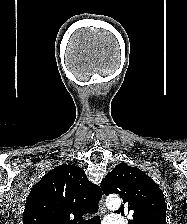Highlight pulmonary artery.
Returning <instances> with one entry per match:
<instances>
[{"instance_id":"pulmonary-artery-1","label":"pulmonary artery","mask_w":187,"mask_h":224,"mask_svg":"<svg viewBox=\"0 0 187 224\" xmlns=\"http://www.w3.org/2000/svg\"><path fill=\"white\" fill-rule=\"evenodd\" d=\"M104 224H121V219L119 217L108 218Z\"/></svg>"}]
</instances>
